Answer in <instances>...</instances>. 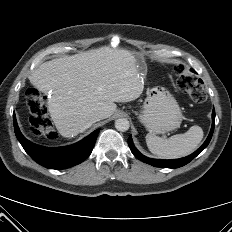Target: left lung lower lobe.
Masks as SVG:
<instances>
[{"label": "left lung lower lobe", "mask_w": 232, "mask_h": 232, "mask_svg": "<svg viewBox=\"0 0 232 232\" xmlns=\"http://www.w3.org/2000/svg\"><path fill=\"white\" fill-rule=\"evenodd\" d=\"M193 72H195L193 69H191ZM214 126H215V110L213 109L212 112V127H211V131L209 133L208 138L206 139V141L204 142V144L197 150L195 151L193 154L181 158V159H176V160H158V159H151L148 157H145L144 155H142L134 146L133 142H132V138L131 136L128 138V145L129 148L131 150V152L134 154L135 157H137L139 160L150 164L152 166L155 167H162V168H178L181 166L186 165L187 163H189L192 159H194L203 149H205L207 147V145L209 144L212 135H213V131H214Z\"/></svg>", "instance_id": "left-lung-lower-lobe-1"}]
</instances>
